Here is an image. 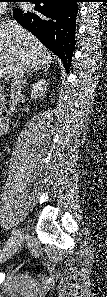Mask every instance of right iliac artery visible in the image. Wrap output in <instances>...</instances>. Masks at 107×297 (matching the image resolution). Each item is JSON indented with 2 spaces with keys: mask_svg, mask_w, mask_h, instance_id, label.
I'll use <instances>...</instances> for the list:
<instances>
[{
  "mask_svg": "<svg viewBox=\"0 0 107 297\" xmlns=\"http://www.w3.org/2000/svg\"><path fill=\"white\" fill-rule=\"evenodd\" d=\"M15 234H16V232H15ZM3 251H6V249L5 250H3ZM3 257V253H1V258Z\"/></svg>",
  "mask_w": 107,
  "mask_h": 297,
  "instance_id": "82829eb1",
  "label": "right iliac artery"
}]
</instances>
